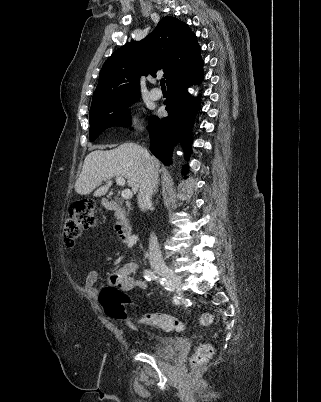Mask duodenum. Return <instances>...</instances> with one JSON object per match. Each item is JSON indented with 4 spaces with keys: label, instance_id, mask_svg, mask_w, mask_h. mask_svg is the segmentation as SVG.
<instances>
[{
    "label": "duodenum",
    "instance_id": "duodenum-1",
    "mask_svg": "<svg viewBox=\"0 0 321 402\" xmlns=\"http://www.w3.org/2000/svg\"><path fill=\"white\" fill-rule=\"evenodd\" d=\"M103 206L109 211L122 213L123 207L119 200L116 199H103ZM115 230L122 242H128L132 234L131 224L123 217H120L115 223Z\"/></svg>",
    "mask_w": 321,
    "mask_h": 402
}]
</instances>
